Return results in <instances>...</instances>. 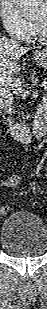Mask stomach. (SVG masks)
<instances>
[{"mask_svg":"<svg viewBox=\"0 0 47 309\" xmlns=\"http://www.w3.org/2000/svg\"><path fill=\"white\" fill-rule=\"evenodd\" d=\"M33 60L38 66L47 69V47L36 52L33 56Z\"/></svg>","mask_w":47,"mask_h":309,"instance_id":"1","label":"stomach"}]
</instances>
